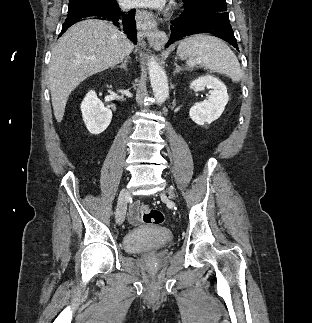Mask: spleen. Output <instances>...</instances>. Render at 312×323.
<instances>
[{"label": "spleen", "mask_w": 312, "mask_h": 323, "mask_svg": "<svg viewBox=\"0 0 312 323\" xmlns=\"http://www.w3.org/2000/svg\"><path fill=\"white\" fill-rule=\"evenodd\" d=\"M177 56L182 60L189 58L186 62L188 68L204 66L210 72L230 76L232 82H240L242 78L240 64L235 54L225 42L215 36L195 34L181 40Z\"/></svg>", "instance_id": "1"}]
</instances>
